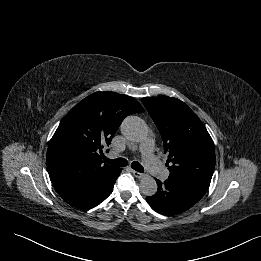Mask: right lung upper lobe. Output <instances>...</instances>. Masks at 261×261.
Instances as JSON below:
<instances>
[{
    "label": "right lung upper lobe",
    "mask_w": 261,
    "mask_h": 261,
    "mask_svg": "<svg viewBox=\"0 0 261 261\" xmlns=\"http://www.w3.org/2000/svg\"><path fill=\"white\" fill-rule=\"evenodd\" d=\"M143 112L136 99L105 91L89 95L67 113L46 156L49 176L62 198L96 185L117 169L103 164L102 149L127 115Z\"/></svg>",
    "instance_id": "1"
}]
</instances>
